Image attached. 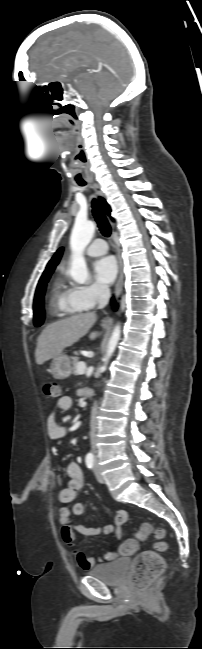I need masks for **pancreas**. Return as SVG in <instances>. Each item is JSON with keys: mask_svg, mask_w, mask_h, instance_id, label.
Instances as JSON below:
<instances>
[{"mask_svg": "<svg viewBox=\"0 0 202 649\" xmlns=\"http://www.w3.org/2000/svg\"><path fill=\"white\" fill-rule=\"evenodd\" d=\"M79 362H80V361L78 360V358H74V360H73V367H72V373H73L74 375H80L79 372H78V367H77Z\"/></svg>", "mask_w": 202, "mask_h": 649, "instance_id": "1", "label": "pancreas"}]
</instances>
